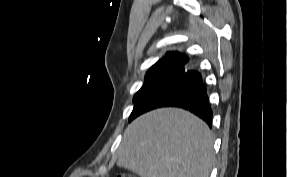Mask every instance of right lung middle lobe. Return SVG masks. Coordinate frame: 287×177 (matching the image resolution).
Here are the masks:
<instances>
[{
  "instance_id": "right-lung-middle-lobe-1",
  "label": "right lung middle lobe",
  "mask_w": 287,
  "mask_h": 177,
  "mask_svg": "<svg viewBox=\"0 0 287 177\" xmlns=\"http://www.w3.org/2000/svg\"><path fill=\"white\" fill-rule=\"evenodd\" d=\"M181 67L180 61H165L162 63H158L153 65L147 72L145 81L141 89L134 95L133 102L136 103L142 95L162 76L165 74L178 69ZM133 116V113H131L129 121H131V118Z\"/></svg>"
}]
</instances>
